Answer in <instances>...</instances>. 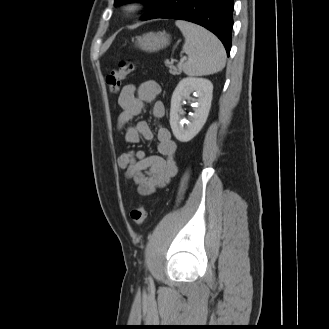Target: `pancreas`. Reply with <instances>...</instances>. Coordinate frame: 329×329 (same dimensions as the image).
Returning <instances> with one entry per match:
<instances>
[{"mask_svg": "<svg viewBox=\"0 0 329 329\" xmlns=\"http://www.w3.org/2000/svg\"><path fill=\"white\" fill-rule=\"evenodd\" d=\"M166 66L169 68V72L172 75H179L181 73L182 69H183V64L182 63H179L177 65V67H175L172 63L167 62Z\"/></svg>", "mask_w": 329, "mask_h": 329, "instance_id": "cf45deb5", "label": "pancreas"}]
</instances>
